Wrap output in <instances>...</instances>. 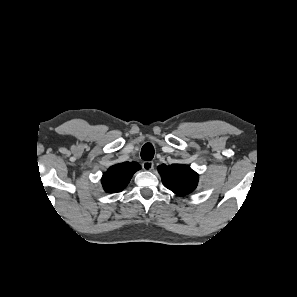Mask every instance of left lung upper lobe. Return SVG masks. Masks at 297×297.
Listing matches in <instances>:
<instances>
[{
  "label": "left lung upper lobe",
  "mask_w": 297,
  "mask_h": 297,
  "mask_svg": "<svg viewBox=\"0 0 297 297\" xmlns=\"http://www.w3.org/2000/svg\"><path fill=\"white\" fill-rule=\"evenodd\" d=\"M161 179L165 187L183 196L195 190L198 183V174L190 167L180 164L158 167Z\"/></svg>",
  "instance_id": "left-lung-upper-lobe-1"
}]
</instances>
